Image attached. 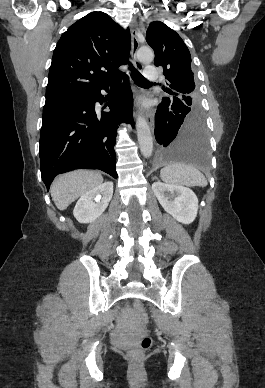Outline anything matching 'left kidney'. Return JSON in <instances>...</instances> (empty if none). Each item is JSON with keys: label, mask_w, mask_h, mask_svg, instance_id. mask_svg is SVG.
<instances>
[{"label": "left kidney", "mask_w": 265, "mask_h": 388, "mask_svg": "<svg viewBox=\"0 0 265 388\" xmlns=\"http://www.w3.org/2000/svg\"><path fill=\"white\" fill-rule=\"evenodd\" d=\"M152 190L165 212L181 224H192L198 212V198L190 188L154 182Z\"/></svg>", "instance_id": "5707ae66"}]
</instances>
